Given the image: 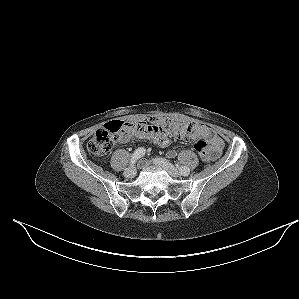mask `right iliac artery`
Segmentation results:
<instances>
[{
	"instance_id": "82829eb1",
	"label": "right iliac artery",
	"mask_w": 299,
	"mask_h": 299,
	"mask_svg": "<svg viewBox=\"0 0 299 299\" xmlns=\"http://www.w3.org/2000/svg\"><path fill=\"white\" fill-rule=\"evenodd\" d=\"M146 150L143 147H140L134 151L131 156L130 165L132 166L139 160L141 157L145 155Z\"/></svg>"
}]
</instances>
